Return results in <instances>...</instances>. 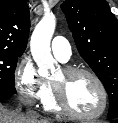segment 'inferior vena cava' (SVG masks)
I'll return each mask as SVG.
<instances>
[{
    "label": "inferior vena cava",
    "instance_id": "602c4592",
    "mask_svg": "<svg viewBox=\"0 0 118 123\" xmlns=\"http://www.w3.org/2000/svg\"><path fill=\"white\" fill-rule=\"evenodd\" d=\"M26 115L30 118H36L37 117V112L33 109H28L26 112Z\"/></svg>",
    "mask_w": 118,
    "mask_h": 123
}]
</instances>
